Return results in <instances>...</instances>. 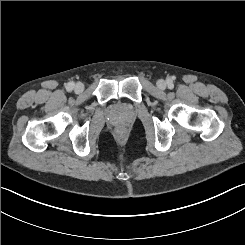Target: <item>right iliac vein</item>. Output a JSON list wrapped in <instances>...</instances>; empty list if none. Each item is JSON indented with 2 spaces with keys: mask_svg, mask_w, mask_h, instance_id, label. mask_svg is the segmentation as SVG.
<instances>
[{
  "mask_svg": "<svg viewBox=\"0 0 245 245\" xmlns=\"http://www.w3.org/2000/svg\"><path fill=\"white\" fill-rule=\"evenodd\" d=\"M84 90V85L83 83H77L75 86H74V92L79 94L81 93L82 91Z\"/></svg>",
  "mask_w": 245,
  "mask_h": 245,
  "instance_id": "obj_1",
  "label": "right iliac vein"
}]
</instances>
